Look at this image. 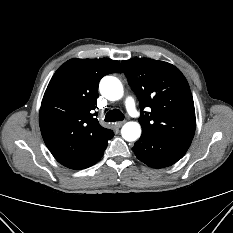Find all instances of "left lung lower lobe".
<instances>
[{
	"label": "left lung lower lobe",
	"instance_id": "obj_1",
	"mask_svg": "<svg viewBox=\"0 0 233 233\" xmlns=\"http://www.w3.org/2000/svg\"><path fill=\"white\" fill-rule=\"evenodd\" d=\"M191 142L171 140L142 133L133 151L137 158L153 168H163L176 163L188 150Z\"/></svg>",
	"mask_w": 233,
	"mask_h": 233
}]
</instances>
